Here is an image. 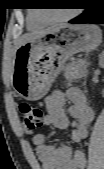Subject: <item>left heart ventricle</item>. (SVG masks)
<instances>
[{
    "instance_id": "b2bd125f",
    "label": "left heart ventricle",
    "mask_w": 104,
    "mask_h": 169,
    "mask_svg": "<svg viewBox=\"0 0 104 169\" xmlns=\"http://www.w3.org/2000/svg\"><path fill=\"white\" fill-rule=\"evenodd\" d=\"M68 12L69 11H64V10H49V11H46L44 15L45 17L49 19H58V18L63 17Z\"/></svg>"
}]
</instances>
